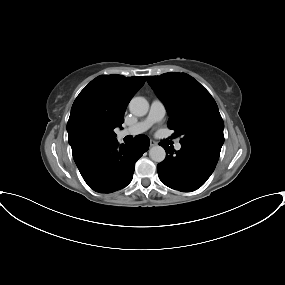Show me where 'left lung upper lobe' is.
<instances>
[{
  "mask_svg": "<svg viewBox=\"0 0 285 285\" xmlns=\"http://www.w3.org/2000/svg\"><path fill=\"white\" fill-rule=\"evenodd\" d=\"M170 116L168 127L182 136L181 144L221 151L224 123L210 93L184 73L147 76Z\"/></svg>",
  "mask_w": 285,
  "mask_h": 285,
  "instance_id": "left-lung-upper-lobe-1",
  "label": "left lung upper lobe"
}]
</instances>
